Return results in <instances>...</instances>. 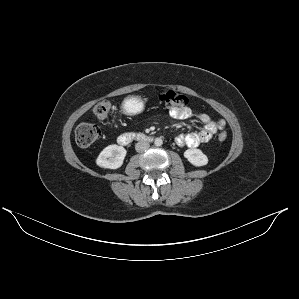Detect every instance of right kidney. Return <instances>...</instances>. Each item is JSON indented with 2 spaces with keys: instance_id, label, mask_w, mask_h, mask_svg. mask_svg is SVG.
Listing matches in <instances>:
<instances>
[{
  "instance_id": "right-kidney-1",
  "label": "right kidney",
  "mask_w": 299,
  "mask_h": 299,
  "mask_svg": "<svg viewBox=\"0 0 299 299\" xmlns=\"http://www.w3.org/2000/svg\"><path fill=\"white\" fill-rule=\"evenodd\" d=\"M126 149L116 144L105 147L96 159V164L102 168L117 169L122 166Z\"/></svg>"
}]
</instances>
